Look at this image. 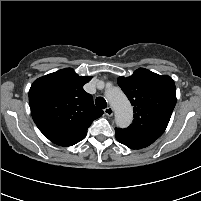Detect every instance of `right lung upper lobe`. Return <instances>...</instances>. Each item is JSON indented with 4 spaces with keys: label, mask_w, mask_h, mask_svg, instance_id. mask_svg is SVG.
I'll list each match as a JSON object with an SVG mask.
<instances>
[{
    "label": "right lung upper lobe",
    "mask_w": 201,
    "mask_h": 201,
    "mask_svg": "<svg viewBox=\"0 0 201 201\" xmlns=\"http://www.w3.org/2000/svg\"><path fill=\"white\" fill-rule=\"evenodd\" d=\"M91 78L66 68L38 78L31 85L29 105L33 120L53 143L60 146L78 143L91 123L103 114L83 89Z\"/></svg>",
    "instance_id": "1"
}]
</instances>
